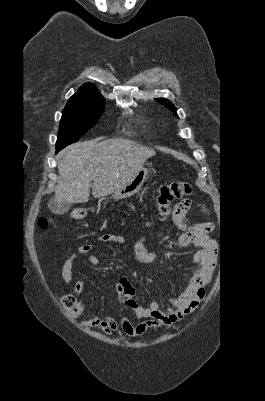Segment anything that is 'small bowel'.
Returning a JSON list of instances; mask_svg holds the SVG:
<instances>
[{
    "label": "small bowel",
    "instance_id": "obj_1",
    "mask_svg": "<svg viewBox=\"0 0 265 401\" xmlns=\"http://www.w3.org/2000/svg\"><path fill=\"white\" fill-rule=\"evenodd\" d=\"M204 214H209L205 205H199ZM192 207V202L184 199L173 208V221L181 230V234L167 240L168 247L196 249L193 257L194 268L187 280L185 291L178 297L169 299L171 307L160 308L159 303L153 301L148 305H142L136 294V290L129 279L123 277L116 284L117 300L115 309L118 311L122 306L132 309L138 319H148L138 324H133L127 317L122 316L119 321L109 314L96 315L82 323L85 328H97L107 335L123 332L129 337H140L159 326H171L181 320L187 314L193 312L205 296V285L210 281L217 263V247L210 238L209 233L213 230V223L193 222L187 223L186 215ZM97 240L101 243L123 244L125 237L118 234H102ZM94 245L85 243L73 251L64 261L62 266V278L65 284L75 294H80L84 287V280L79 279L74 285L73 265L75 260L88 254ZM133 255L141 264H150L155 261L156 253L149 250L145 245V238L138 239L133 247ZM93 265H99V259L94 255L87 256Z\"/></svg>",
    "mask_w": 265,
    "mask_h": 401
}]
</instances>
